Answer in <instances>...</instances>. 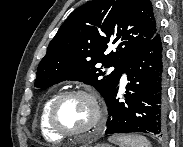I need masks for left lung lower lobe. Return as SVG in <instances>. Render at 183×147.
<instances>
[{
  "label": "left lung lower lobe",
  "instance_id": "obj_1",
  "mask_svg": "<svg viewBox=\"0 0 183 147\" xmlns=\"http://www.w3.org/2000/svg\"><path fill=\"white\" fill-rule=\"evenodd\" d=\"M126 72L125 99L117 97L119 79ZM166 69L161 37L157 32L125 62L106 104V134L142 132L162 136L166 132Z\"/></svg>",
  "mask_w": 183,
  "mask_h": 147
}]
</instances>
